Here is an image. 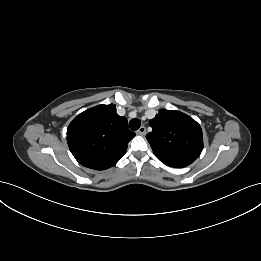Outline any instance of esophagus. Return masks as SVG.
Returning <instances> with one entry per match:
<instances>
[{"instance_id":"1","label":"esophagus","mask_w":261,"mask_h":261,"mask_svg":"<svg viewBox=\"0 0 261 261\" xmlns=\"http://www.w3.org/2000/svg\"><path fill=\"white\" fill-rule=\"evenodd\" d=\"M137 134L138 135H145L146 134V127L145 126H141L138 130H137Z\"/></svg>"}]
</instances>
